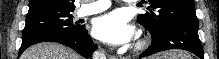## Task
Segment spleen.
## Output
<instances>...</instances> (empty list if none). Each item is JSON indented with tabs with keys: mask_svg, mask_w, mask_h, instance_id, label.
Instances as JSON below:
<instances>
[{
	"mask_svg": "<svg viewBox=\"0 0 219 59\" xmlns=\"http://www.w3.org/2000/svg\"><path fill=\"white\" fill-rule=\"evenodd\" d=\"M171 57L170 58H173V59H190L189 55L188 54H185V53H181V54H169Z\"/></svg>",
	"mask_w": 219,
	"mask_h": 59,
	"instance_id": "1",
	"label": "spleen"
}]
</instances>
